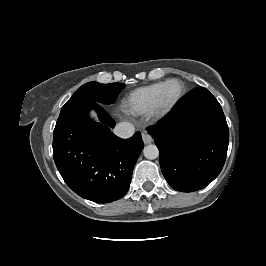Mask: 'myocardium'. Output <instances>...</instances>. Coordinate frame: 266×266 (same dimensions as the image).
Returning a JSON list of instances; mask_svg holds the SVG:
<instances>
[{
  "label": "myocardium",
  "mask_w": 266,
  "mask_h": 266,
  "mask_svg": "<svg viewBox=\"0 0 266 266\" xmlns=\"http://www.w3.org/2000/svg\"><path fill=\"white\" fill-rule=\"evenodd\" d=\"M172 83H178L179 84L180 93L174 99V101L172 103L166 105L163 103V96L165 94L167 87ZM184 95H185V86H184V83L180 79L172 78V79L165 81V83H164L163 87L161 88V90L157 96V99L155 101V105H154L153 110H152L153 117L156 119H161V118L165 117L179 104V102L181 101V99L183 98Z\"/></svg>",
  "instance_id": "f54148a6"
}]
</instances>
